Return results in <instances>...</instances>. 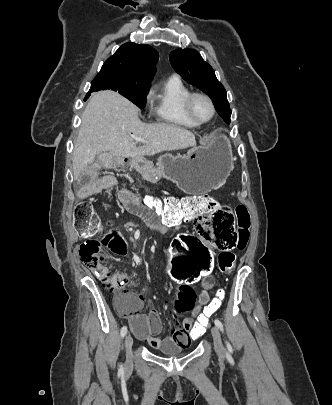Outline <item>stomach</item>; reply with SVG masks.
<instances>
[{
	"instance_id": "stomach-1",
	"label": "stomach",
	"mask_w": 332,
	"mask_h": 405,
	"mask_svg": "<svg viewBox=\"0 0 332 405\" xmlns=\"http://www.w3.org/2000/svg\"><path fill=\"white\" fill-rule=\"evenodd\" d=\"M232 168L231 146L223 138L210 146L193 148L186 155L163 154L156 170L185 193L197 195L219 187Z\"/></svg>"
}]
</instances>
